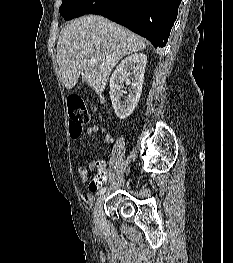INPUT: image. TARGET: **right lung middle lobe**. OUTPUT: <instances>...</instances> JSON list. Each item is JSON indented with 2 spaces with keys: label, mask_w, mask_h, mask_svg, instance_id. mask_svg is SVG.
<instances>
[{
  "label": "right lung middle lobe",
  "mask_w": 233,
  "mask_h": 263,
  "mask_svg": "<svg viewBox=\"0 0 233 263\" xmlns=\"http://www.w3.org/2000/svg\"><path fill=\"white\" fill-rule=\"evenodd\" d=\"M59 8L60 14L65 20L82 16L84 14L94 13L102 7L114 6L121 0H62Z\"/></svg>",
  "instance_id": "1"
}]
</instances>
